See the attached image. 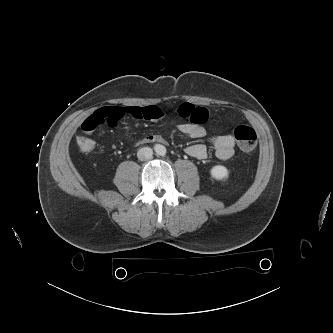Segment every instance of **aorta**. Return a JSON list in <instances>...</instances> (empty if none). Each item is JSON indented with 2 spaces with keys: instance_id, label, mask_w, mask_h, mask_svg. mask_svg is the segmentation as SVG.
I'll list each match as a JSON object with an SVG mask.
<instances>
[{
  "instance_id": "aorta-1",
  "label": "aorta",
  "mask_w": 333,
  "mask_h": 333,
  "mask_svg": "<svg viewBox=\"0 0 333 333\" xmlns=\"http://www.w3.org/2000/svg\"><path fill=\"white\" fill-rule=\"evenodd\" d=\"M155 151L157 155L164 156L166 154V148L163 145H156Z\"/></svg>"
}]
</instances>
